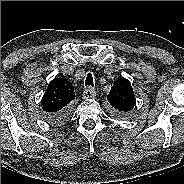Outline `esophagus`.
<instances>
[{
  "label": "esophagus",
  "instance_id": "1",
  "mask_svg": "<svg viewBox=\"0 0 184 184\" xmlns=\"http://www.w3.org/2000/svg\"><path fill=\"white\" fill-rule=\"evenodd\" d=\"M95 96H96V92L91 87H87L83 91V98L84 99L94 98Z\"/></svg>",
  "mask_w": 184,
  "mask_h": 184
}]
</instances>
